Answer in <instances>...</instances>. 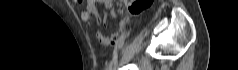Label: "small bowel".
<instances>
[{
  "instance_id": "obj_1",
  "label": "small bowel",
  "mask_w": 238,
  "mask_h": 70,
  "mask_svg": "<svg viewBox=\"0 0 238 70\" xmlns=\"http://www.w3.org/2000/svg\"><path fill=\"white\" fill-rule=\"evenodd\" d=\"M98 3L103 5L104 9L106 10L109 16L113 18L116 17V12L112 8V5H113L112 0H100V1L90 0L89 7H88L90 13H93V14L97 13L96 5ZM82 17L84 20H87L89 18V13L88 12L83 13ZM123 25H124V22L120 24L121 27H123ZM96 38L101 44L105 46H109L116 43L118 39V34L116 33L108 37L103 32L97 31Z\"/></svg>"
}]
</instances>
